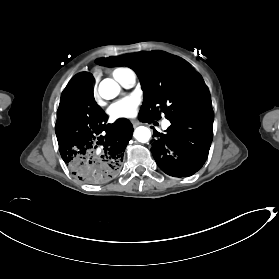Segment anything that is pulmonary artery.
Instances as JSON below:
<instances>
[{
    "instance_id": "pulmonary-artery-1",
    "label": "pulmonary artery",
    "mask_w": 279,
    "mask_h": 279,
    "mask_svg": "<svg viewBox=\"0 0 279 279\" xmlns=\"http://www.w3.org/2000/svg\"><path fill=\"white\" fill-rule=\"evenodd\" d=\"M136 76L133 72H129L123 81L124 88H132L135 85Z\"/></svg>"
}]
</instances>
